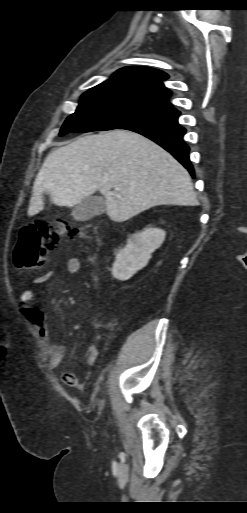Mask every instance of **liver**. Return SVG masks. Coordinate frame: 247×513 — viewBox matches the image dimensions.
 Returning a JSON list of instances; mask_svg holds the SVG:
<instances>
[{"mask_svg": "<svg viewBox=\"0 0 247 513\" xmlns=\"http://www.w3.org/2000/svg\"><path fill=\"white\" fill-rule=\"evenodd\" d=\"M115 187L120 191L112 196ZM96 191L115 222L158 205L199 204L188 171L169 152L139 133L115 129L51 152L36 176L28 216L44 209V194L72 207Z\"/></svg>", "mask_w": 247, "mask_h": 513, "instance_id": "1", "label": "liver"}]
</instances>
